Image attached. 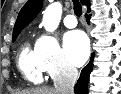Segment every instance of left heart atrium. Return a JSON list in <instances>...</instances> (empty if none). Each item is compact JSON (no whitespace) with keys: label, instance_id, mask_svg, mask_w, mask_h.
<instances>
[{"label":"left heart atrium","instance_id":"39dd6f15","mask_svg":"<svg viewBox=\"0 0 121 94\" xmlns=\"http://www.w3.org/2000/svg\"><path fill=\"white\" fill-rule=\"evenodd\" d=\"M64 51L71 63L80 66L89 55V45L86 35L79 30L70 31L64 36Z\"/></svg>","mask_w":121,"mask_h":94}]
</instances>
